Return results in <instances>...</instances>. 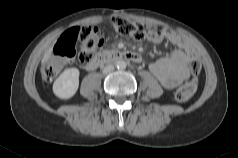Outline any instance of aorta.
Wrapping results in <instances>:
<instances>
[{
	"mask_svg": "<svg viewBox=\"0 0 238 158\" xmlns=\"http://www.w3.org/2000/svg\"><path fill=\"white\" fill-rule=\"evenodd\" d=\"M127 67V63L123 60H120L117 62V68L119 69H125Z\"/></svg>",
	"mask_w": 238,
	"mask_h": 158,
	"instance_id": "1",
	"label": "aorta"
}]
</instances>
